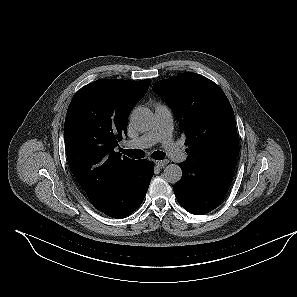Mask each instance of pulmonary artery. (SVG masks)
Returning <instances> with one entry per match:
<instances>
[{
  "label": "pulmonary artery",
  "mask_w": 297,
  "mask_h": 297,
  "mask_svg": "<svg viewBox=\"0 0 297 297\" xmlns=\"http://www.w3.org/2000/svg\"><path fill=\"white\" fill-rule=\"evenodd\" d=\"M154 124L146 134L124 142L127 148H147L160 142L167 153L176 161H184L185 153L174 142L173 133V115L170 108L163 103L155 105Z\"/></svg>",
  "instance_id": "obj_1"
}]
</instances>
